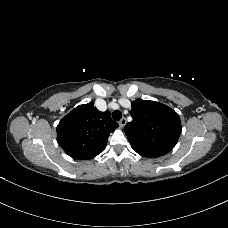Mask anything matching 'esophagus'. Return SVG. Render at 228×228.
<instances>
[{
    "instance_id": "esophagus-1",
    "label": "esophagus",
    "mask_w": 228,
    "mask_h": 228,
    "mask_svg": "<svg viewBox=\"0 0 228 228\" xmlns=\"http://www.w3.org/2000/svg\"><path fill=\"white\" fill-rule=\"evenodd\" d=\"M126 125V119L123 117L119 121L120 128H123Z\"/></svg>"
}]
</instances>
